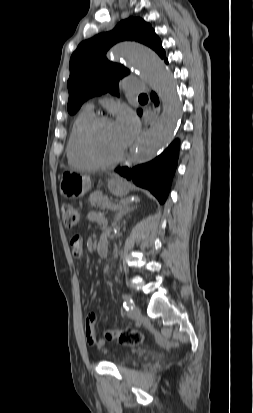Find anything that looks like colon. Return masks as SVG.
<instances>
[{"label":"colon","mask_w":253,"mask_h":413,"mask_svg":"<svg viewBox=\"0 0 253 413\" xmlns=\"http://www.w3.org/2000/svg\"><path fill=\"white\" fill-rule=\"evenodd\" d=\"M61 215L66 227H73L79 221V211L73 204H62ZM105 337L107 340L117 339L120 343L126 345H138L144 341V335L133 329H113L108 331Z\"/></svg>","instance_id":"5ec220e1"}]
</instances>
